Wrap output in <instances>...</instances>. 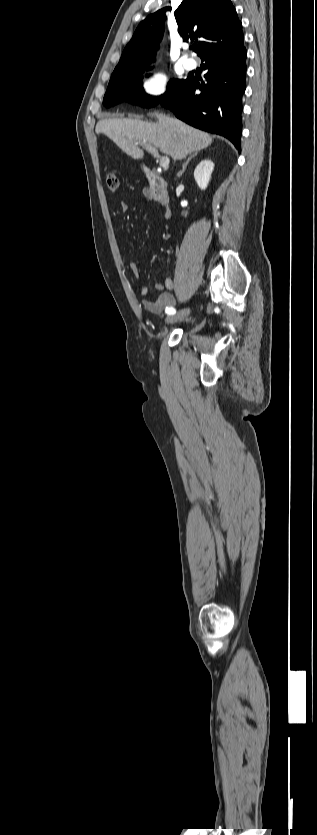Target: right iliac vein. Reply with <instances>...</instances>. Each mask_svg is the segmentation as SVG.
<instances>
[{
	"mask_svg": "<svg viewBox=\"0 0 317 835\" xmlns=\"http://www.w3.org/2000/svg\"><path fill=\"white\" fill-rule=\"evenodd\" d=\"M189 313H190V309H188V308L182 309L178 313H175L173 315H169L166 318V323H175V322H178V321H182L189 315Z\"/></svg>",
	"mask_w": 317,
	"mask_h": 835,
	"instance_id": "63e3f726",
	"label": "right iliac vein"
}]
</instances>
